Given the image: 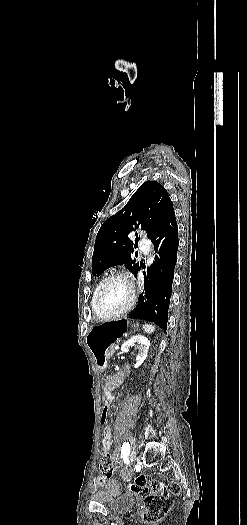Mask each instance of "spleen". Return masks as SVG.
<instances>
[{"mask_svg": "<svg viewBox=\"0 0 247 525\" xmlns=\"http://www.w3.org/2000/svg\"><path fill=\"white\" fill-rule=\"evenodd\" d=\"M143 329L148 335H151V333H154L155 331V325H143Z\"/></svg>", "mask_w": 247, "mask_h": 525, "instance_id": "3e777b00", "label": "spleen"}]
</instances>
